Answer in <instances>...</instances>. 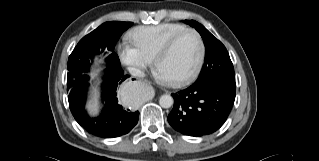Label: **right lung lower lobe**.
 I'll return each instance as SVG.
<instances>
[{
  "label": "right lung lower lobe",
  "instance_id": "98d812e1",
  "mask_svg": "<svg viewBox=\"0 0 319 161\" xmlns=\"http://www.w3.org/2000/svg\"><path fill=\"white\" fill-rule=\"evenodd\" d=\"M128 77L124 75L119 59L116 64L105 69L102 83V101L105 105L100 116L94 118L84 109L89 77L78 82L68 96L69 107L75 120L89 133L103 138H114L130 132L138 122L139 112L124 109L118 102L116 92L117 87Z\"/></svg>",
  "mask_w": 319,
  "mask_h": 161
}]
</instances>
